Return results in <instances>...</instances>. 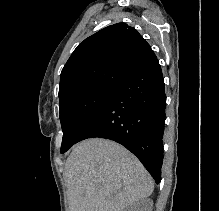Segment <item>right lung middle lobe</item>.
I'll return each instance as SVG.
<instances>
[{
    "label": "right lung middle lobe",
    "instance_id": "right-lung-middle-lobe-1",
    "mask_svg": "<svg viewBox=\"0 0 219 211\" xmlns=\"http://www.w3.org/2000/svg\"><path fill=\"white\" fill-rule=\"evenodd\" d=\"M116 85L98 84L59 101L63 131L61 153L76 143V139L101 109Z\"/></svg>",
    "mask_w": 219,
    "mask_h": 211
}]
</instances>
